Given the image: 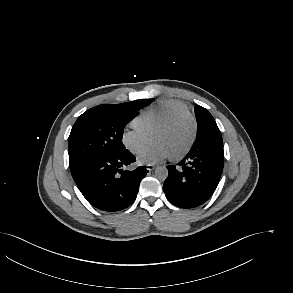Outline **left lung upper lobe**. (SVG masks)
<instances>
[{
  "label": "left lung upper lobe",
  "mask_w": 293,
  "mask_h": 293,
  "mask_svg": "<svg viewBox=\"0 0 293 293\" xmlns=\"http://www.w3.org/2000/svg\"><path fill=\"white\" fill-rule=\"evenodd\" d=\"M195 115L197 119V137L196 143L204 141H215L223 144L221 132L212 117V115L203 107H195Z\"/></svg>",
  "instance_id": "5c2ea615"
}]
</instances>
